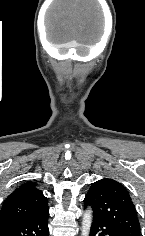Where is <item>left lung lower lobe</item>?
I'll return each mask as SVG.
<instances>
[{
  "label": "left lung lower lobe",
  "instance_id": "obj_1",
  "mask_svg": "<svg viewBox=\"0 0 145 236\" xmlns=\"http://www.w3.org/2000/svg\"><path fill=\"white\" fill-rule=\"evenodd\" d=\"M121 236L111 226L107 225L103 220L93 217L90 236Z\"/></svg>",
  "mask_w": 145,
  "mask_h": 236
}]
</instances>
